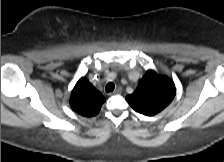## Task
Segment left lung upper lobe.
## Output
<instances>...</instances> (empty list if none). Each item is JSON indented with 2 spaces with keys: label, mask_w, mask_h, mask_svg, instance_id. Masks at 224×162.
Listing matches in <instances>:
<instances>
[{
  "label": "left lung upper lobe",
  "mask_w": 224,
  "mask_h": 162,
  "mask_svg": "<svg viewBox=\"0 0 224 162\" xmlns=\"http://www.w3.org/2000/svg\"><path fill=\"white\" fill-rule=\"evenodd\" d=\"M175 93V85L171 79L148 70L126 100L136 112L153 116L171 103Z\"/></svg>",
  "instance_id": "1"
}]
</instances>
